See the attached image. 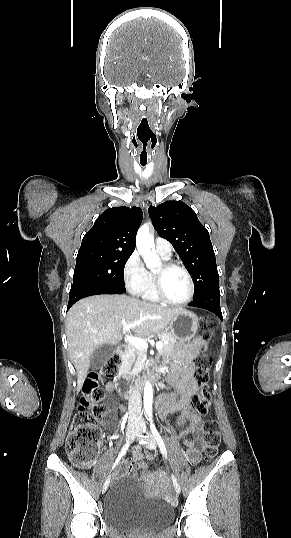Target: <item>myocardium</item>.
Wrapping results in <instances>:
<instances>
[{
    "label": "myocardium",
    "instance_id": "f54148a6",
    "mask_svg": "<svg viewBox=\"0 0 291 538\" xmlns=\"http://www.w3.org/2000/svg\"><path fill=\"white\" fill-rule=\"evenodd\" d=\"M175 269L182 271L185 274V276H186V278L188 280V283H189V292H188L186 298L181 300V301H173V300L169 299L166 296V294L164 292V288H163V275H164V273H166L168 271H171V270H175ZM153 281H154V289H155L156 295L158 296V298L162 302H164L166 304L173 305V306H183V305L189 303L193 298L194 291H195L194 281H193V278H192L190 272L183 265H180V264L174 263V262H169V261L164 262L161 265V269L159 271L153 272Z\"/></svg>",
    "mask_w": 291,
    "mask_h": 538
}]
</instances>
